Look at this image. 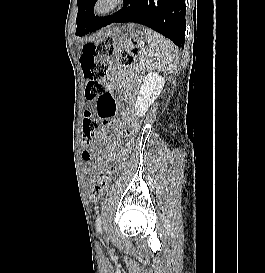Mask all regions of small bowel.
<instances>
[{"mask_svg": "<svg viewBox=\"0 0 265 273\" xmlns=\"http://www.w3.org/2000/svg\"><path fill=\"white\" fill-rule=\"evenodd\" d=\"M106 62H109V59L105 60ZM117 81H118V75L116 74L115 71H112L107 80H106V85L108 87L109 90H113L117 87ZM105 131H109L108 127L105 128ZM103 137H107V136H102Z\"/></svg>", "mask_w": 265, "mask_h": 273, "instance_id": "1", "label": "small bowel"}]
</instances>
